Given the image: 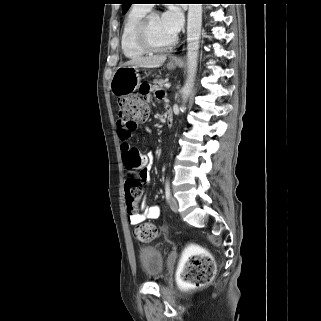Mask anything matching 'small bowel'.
<instances>
[{
	"label": "small bowel",
	"instance_id": "c3829d8e",
	"mask_svg": "<svg viewBox=\"0 0 321 321\" xmlns=\"http://www.w3.org/2000/svg\"><path fill=\"white\" fill-rule=\"evenodd\" d=\"M152 91V87L150 86L149 82H140L139 87H137L136 92L139 97H142L144 104L149 105L151 103V97L149 93ZM155 97L159 100H165L166 94L161 89H154ZM166 110H170V106L166 105ZM118 128V138L120 141V149L122 152V158L124 164H126V160L128 156L133 152H138V150L132 147L129 143V139L132 136V132L134 129L127 127L123 122L120 120L117 123ZM150 132L149 129H147ZM144 159L145 165L143 168L139 170V176L142 181L149 182L150 175H149V168H148V157L141 155ZM160 216V207L158 205H144L140 212L130 214L128 217L129 223L131 225H138L143 223L146 220H154L159 218Z\"/></svg>",
	"mask_w": 321,
	"mask_h": 321
}]
</instances>
